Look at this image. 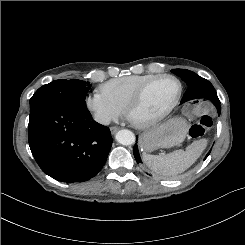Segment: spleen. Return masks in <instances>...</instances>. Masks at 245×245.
<instances>
[{
	"label": "spleen",
	"instance_id": "1",
	"mask_svg": "<svg viewBox=\"0 0 245 245\" xmlns=\"http://www.w3.org/2000/svg\"><path fill=\"white\" fill-rule=\"evenodd\" d=\"M207 145L205 139L194 141L186 150H176L167 155L143 154L148 168L164 178H176L178 174L191 167L200 157Z\"/></svg>",
	"mask_w": 245,
	"mask_h": 245
}]
</instances>
